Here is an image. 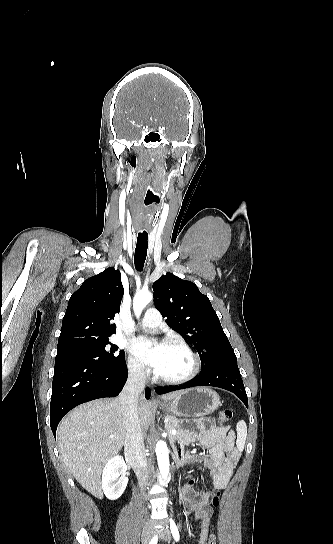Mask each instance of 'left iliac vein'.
<instances>
[{"label": "left iliac vein", "mask_w": 333, "mask_h": 544, "mask_svg": "<svg viewBox=\"0 0 333 544\" xmlns=\"http://www.w3.org/2000/svg\"><path fill=\"white\" fill-rule=\"evenodd\" d=\"M159 538L164 541H170L171 540V532L167 527H164L160 531H158Z\"/></svg>", "instance_id": "left-iliac-vein-1"}]
</instances>
